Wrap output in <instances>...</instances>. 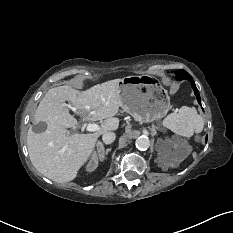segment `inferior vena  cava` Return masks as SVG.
<instances>
[{
    "label": "inferior vena cava",
    "instance_id": "obj_1",
    "mask_svg": "<svg viewBox=\"0 0 233 233\" xmlns=\"http://www.w3.org/2000/svg\"><path fill=\"white\" fill-rule=\"evenodd\" d=\"M116 138V135L114 132H105L102 136V140L105 144L112 143Z\"/></svg>",
    "mask_w": 233,
    "mask_h": 233
}]
</instances>
